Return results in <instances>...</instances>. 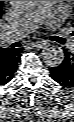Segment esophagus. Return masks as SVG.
Segmentation results:
<instances>
[{
  "instance_id": "esophagus-1",
  "label": "esophagus",
  "mask_w": 74,
  "mask_h": 122,
  "mask_svg": "<svg viewBox=\"0 0 74 122\" xmlns=\"http://www.w3.org/2000/svg\"><path fill=\"white\" fill-rule=\"evenodd\" d=\"M45 45H46L45 41H36L32 43V46L36 48H43Z\"/></svg>"
}]
</instances>
